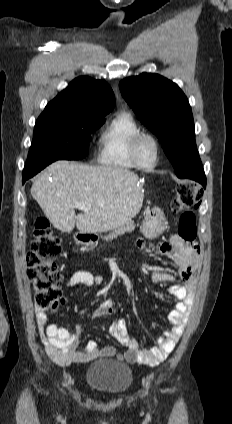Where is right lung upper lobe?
Returning a JSON list of instances; mask_svg holds the SVG:
<instances>
[{
  "label": "right lung upper lobe",
  "mask_w": 232,
  "mask_h": 424,
  "mask_svg": "<svg viewBox=\"0 0 232 424\" xmlns=\"http://www.w3.org/2000/svg\"><path fill=\"white\" fill-rule=\"evenodd\" d=\"M114 106L113 91L105 81L78 77L49 102L44 111H73L104 118Z\"/></svg>",
  "instance_id": "obj_1"
}]
</instances>
